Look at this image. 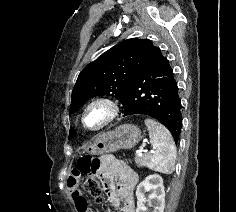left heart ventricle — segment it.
Returning <instances> with one entry per match:
<instances>
[{"label": "left heart ventricle", "mask_w": 236, "mask_h": 212, "mask_svg": "<svg viewBox=\"0 0 236 212\" xmlns=\"http://www.w3.org/2000/svg\"><path fill=\"white\" fill-rule=\"evenodd\" d=\"M105 110L102 107L91 109L86 116V124L90 127L98 126L105 118Z\"/></svg>", "instance_id": "left-heart-ventricle-1"}]
</instances>
